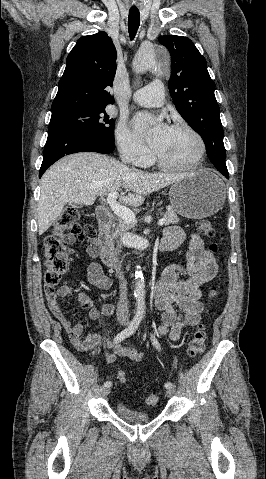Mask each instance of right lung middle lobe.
Listing matches in <instances>:
<instances>
[{
    "mask_svg": "<svg viewBox=\"0 0 266 479\" xmlns=\"http://www.w3.org/2000/svg\"><path fill=\"white\" fill-rule=\"evenodd\" d=\"M114 124L105 108H75L53 112L48 130H68L114 142Z\"/></svg>",
    "mask_w": 266,
    "mask_h": 479,
    "instance_id": "obj_1",
    "label": "right lung middle lobe"
}]
</instances>
